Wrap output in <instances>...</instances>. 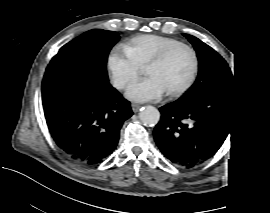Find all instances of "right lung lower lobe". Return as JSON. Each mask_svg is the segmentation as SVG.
I'll return each instance as SVG.
<instances>
[{
	"label": "right lung lower lobe",
	"instance_id": "right-lung-lower-lobe-1",
	"mask_svg": "<svg viewBox=\"0 0 270 213\" xmlns=\"http://www.w3.org/2000/svg\"><path fill=\"white\" fill-rule=\"evenodd\" d=\"M42 103L56 144L85 165L101 163L114 151L123 122L133 114L109 82L84 74L45 75Z\"/></svg>",
	"mask_w": 270,
	"mask_h": 213
}]
</instances>
